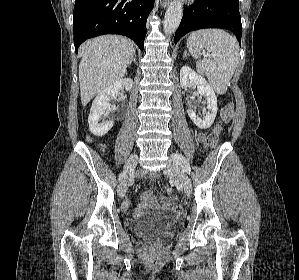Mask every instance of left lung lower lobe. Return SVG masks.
I'll use <instances>...</instances> for the list:
<instances>
[{
    "label": "left lung lower lobe",
    "instance_id": "1",
    "mask_svg": "<svg viewBox=\"0 0 299 280\" xmlns=\"http://www.w3.org/2000/svg\"><path fill=\"white\" fill-rule=\"evenodd\" d=\"M239 0H195L185 8L175 33V44L186 33L203 28H221L232 31L241 43L242 25Z\"/></svg>",
    "mask_w": 299,
    "mask_h": 280
}]
</instances>
